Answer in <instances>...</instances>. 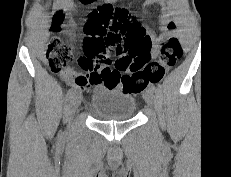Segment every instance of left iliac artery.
<instances>
[{
  "instance_id": "obj_1",
  "label": "left iliac artery",
  "mask_w": 231,
  "mask_h": 177,
  "mask_svg": "<svg viewBox=\"0 0 231 177\" xmlns=\"http://www.w3.org/2000/svg\"><path fill=\"white\" fill-rule=\"evenodd\" d=\"M149 88H150L152 91H156V87H155L153 84H150V85H149Z\"/></svg>"
}]
</instances>
